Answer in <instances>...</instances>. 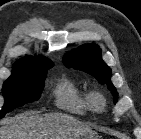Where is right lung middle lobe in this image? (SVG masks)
Here are the masks:
<instances>
[{"mask_svg": "<svg viewBox=\"0 0 141 139\" xmlns=\"http://www.w3.org/2000/svg\"><path fill=\"white\" fill-rule=\"evenodd\" d=\"M52 66L22 68L12 71L11 76L3 85L5 104L0 111V119L14 108L40 98L47 70Z\"/></svg>", "mask_w": 141, "mask_h": 139, "instance_id": "1", "label": "right lung middle lobe"}]
</instances>
